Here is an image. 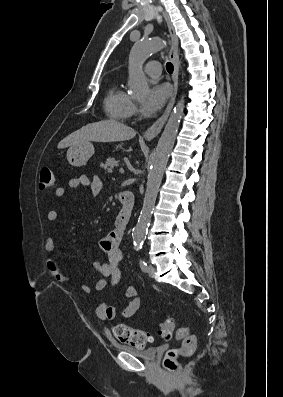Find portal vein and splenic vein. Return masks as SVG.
Masks as SVG:
<instances>
[{
	"mask_svg": "<svg viewBox=\"0 0 283 397\" xmlns=\"http://www.w3.org/2000/svg\"><path fill=\"white\" fill-rule=\"evenodd\" d=\"M119 172H120L121 174H124V169H123V168H120V169H119Z\"/></svg>",
	"mask_w": 283,
	"mask_h": 397,
	"instance_id": "1",
	"label": "portal vein and splenic vein"
}]
</instances>
